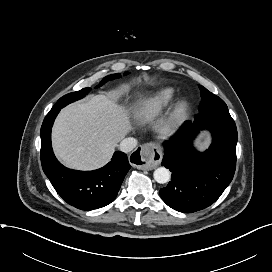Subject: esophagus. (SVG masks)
Segmentation results:
<instances>
[{
  "instance_id": "34e87169",
  "label": "esophagus",
  "mask_w": 272,
  "mask_h": 272,
  "mask_svg": "<svg viewBox=\"0 0 272 272\" xmlns=\"http://www.w3.org/2000/svg\"><path fill=\"white\" fill-rule=\"evenodd\" d=\"M135 167L142 170H152L157 167L162 160V151L154 143H147L137 149L130 157Z\"/></svg>"
}]
</instances>
